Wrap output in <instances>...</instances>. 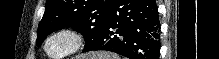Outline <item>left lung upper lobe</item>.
<instances>
[{"mask_svg":"<svg viewBox=\"0 0 219 59\" xmlns=\"http://www.w3.org/2000/svg\"><path fill=\"white\" fill-rule=\"evenodd\" d=\"M113 1L47 0L36 44L40 46L50 33L74 25L84 36L86 49L101 33Z\"/></svg>","mask_w":219,"mask_h":59,"instance_id":"5c2ea615","label":"left lung upper lobe"}]
</instances>
